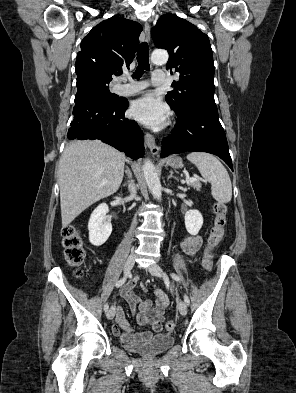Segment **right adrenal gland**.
<instances>
[{
    "label": "right adrenal gland",
    "instance_id": "obj_1",
    "mask_svg": "<svg viewBox=\"0 0 296 393\" xmlns=\"http://www.w3.org/2000/svg\"><path fill=\"white\" fill-rule=\"evenodd\" d=\"M125 173L127 174V176H128L129 178H131V172H130V170H129L128 167H126ZM126 185H127L126 183L123 184V186H126Z\"/></svg>",
    "mask_w": 296,
    "mask_h": 393
}]
</instances>
